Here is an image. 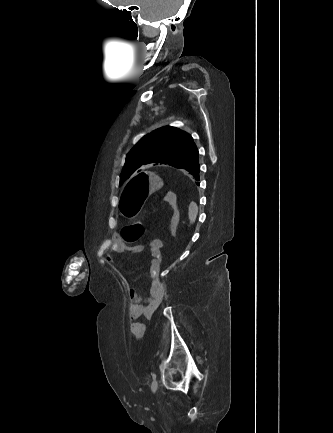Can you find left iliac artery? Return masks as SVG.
I'll list each match as a JSON object with an SVG mask.
<instances>
[{
	"label": "left iliac artery",
	"instance_id": "obj_1",
	"mask_svg": "<svg viewBox=\"0 0 333 433\" xmlns=\"http://www.w3.org/2000/svg\"><path fill=\"white\" fill-rule=\"evenodd\" d=\"M155 377H156V375H155V374H153V375H152V378H153V379H155Z\"/></svg>",
	"mask_w": 333,
	"mask_h": 433
}]
</instances>
